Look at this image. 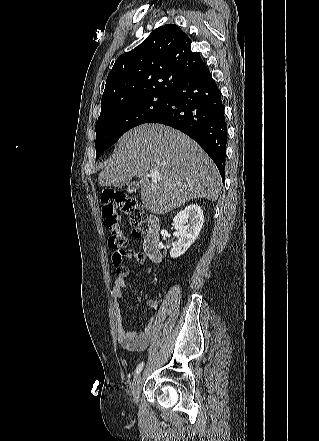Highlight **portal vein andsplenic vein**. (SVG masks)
I'll use <instances>...</instances> for the list:
<instances>
[{"instance_id":"obj_1","label":"portal vein and splenic vein","mask_w":319,"mask_h":441,"mask_svg":"<svg viewBox=\"0 0 319 441\" xmlns=\"http://www.w3.org/2000/svg\"><path fill=\"white\" fill-rule=\"evenodd\" d=\"M149 176H150L152 179H157V178L160 177L159 172L156 171V170H151Z\"/></svg>"}]
</instances>
